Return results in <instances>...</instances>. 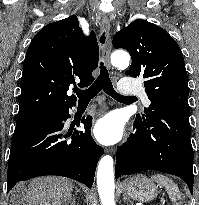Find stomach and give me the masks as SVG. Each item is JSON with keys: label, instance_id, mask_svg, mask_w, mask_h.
<instances>
[{"label": "stomach", "instance_id": "1", "mask_svg": "<svg viewBox=\"0 0 199 205\" xmlns=\"http://www.w3.org/2000/svg\"><path fill=\"white\" fill-rule=\"evenodd\" d=\"M124 188L132 199L147 202L157 196L158 186L152 179L142 174H137L125 181Z\"/></svg>", "mask_w": 199, "mask_h": 205}]
</instances>
